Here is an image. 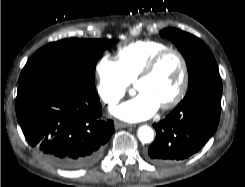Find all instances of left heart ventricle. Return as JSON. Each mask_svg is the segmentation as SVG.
Masks as SVG:
<instances>
[{
    "mask_svg": "<svg viewBox=\"0 0 245 187\" xmlns=\"http://www.w3.org/2000/svg\"><path fill=\"white\" fill-rule=\"evenodd\" d=\"M182 76L179 59L174 54H168L157 65L148 78L135 84L136 91L146 92L161 106L177 92Z\"/></svg>",
    "mask_w": 245,
    "mask_h": 187,
    "instance_id": "obj_1",
    "label": "left heart ventricle"
}]
</instances>
